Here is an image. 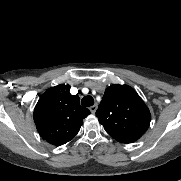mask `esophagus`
Instances as JSON below:
<instances>
[{"label": "esophagus", "instance_id": "1", "mask_svg": "<svg viewBox=\"0 0 181 181\" xmlns=\"http://www.w3.org/2000/svg\"><path fill=\"white\" fill-rule=\"evenodd\" d=\"M89 109H90V111H91L92 114H95V112H96V110H97V105H93V106H91Z\"/></svg>", "mask_w": 181, "mask_h": 181}]
</instances>
